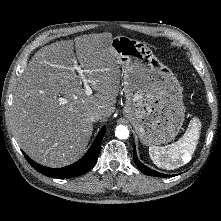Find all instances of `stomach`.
<instances>
[{"instance_id":"0dacf381","label":"stomach","mask_w":221,"mask_h":221,"mask_svg":"<svg viewBox=\"0 0 221 221\" xmlns=\"http://www.w3.org/2000/svg\"><path fill=\"white\" fill-rule=\"evenodd\" d=\"M110 46L123 72L124 114L146 146L170 142L184 122L182 87L150 48L128 36L113 37Z\"/></svg>"}]
</instances>
